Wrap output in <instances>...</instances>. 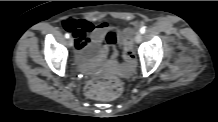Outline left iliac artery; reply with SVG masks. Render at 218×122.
I'll use <instances>...</instances> for the list:
<instances>
[{
  "label": "left iliac artery",
  "instance_id": "1",
  "mask_svg": "<svg viewBox=\"0 0 218 122\" xmlns=\"http://www.w3.org/2000/svg\"><path fill=\"white\" fill-rule=\"evenodd\" d=\"M145 31H146V27H145V26L141 27L140 32H141L142 34H144Z\"/></svg>",
  "mask_w": 218,
  "mask_h": 122
}]
</instances>
